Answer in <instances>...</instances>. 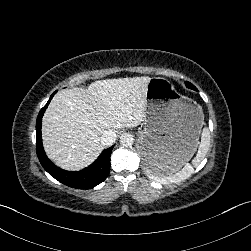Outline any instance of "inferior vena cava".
<instances>
[{"instance_id":"1","label":"inferior vena cava","mask_w":251,"mask_h":251,"mask_svg":"<svg viewBox=\"0 0 251 251\" xmlns=\"http://www.w3.org/2000/svg\"><path fill=\"white\" fill-rule=\"evenodd\" d=\"M116 139H117L116 132L113 131L112 129H107L102 133L100 142H101L102 147H109L113 145Z\"/></svg>"}]
</instances>
